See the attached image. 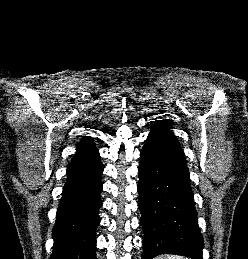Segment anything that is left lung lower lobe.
Masks as SVG:
<instances>
[{"mask_svg": "<svg viewBox=\"0 0 248 259\" xmlns=\"http://www.w3.org/2000/svg\"><path fill=\"white\" fill-rule=\"evenodd\" d=\"M142 259L176 254L202 259L203 239L185 156L146 140L138 168Z\"/></svg>", "mask_w": 248, "mask_h": 259, "instance_id": "left-lung-lower-lobe-1", "label": "left lung lower lobe"}]
</instances>
